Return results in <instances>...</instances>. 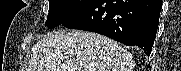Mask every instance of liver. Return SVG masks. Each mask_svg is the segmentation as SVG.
<instances>
[{"label": "liver", "mask_w": 181, "mask_h": 71, "mask_svg": "<svg viewBox=\"0 0 181 71\" xmlns=\"http://www.w3.org/2000/svg\"><path fill=\"white\" fill-rule=\"evenodd\" d=\"M132 55L117 42L92 32L61 30L32 48L29 71H132Z\"/></svg>", "instance_id": "1"}]
</instances>
